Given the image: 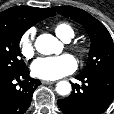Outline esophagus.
I'll list each match as a JSON object with an SVG mask.
<instances>
[{"label":"esophagus","instance_id":"34e87169","mask_svg":"<svg viewBox=\"0 0 114 114\" xmlns=\"http://www.w3.org/2000/svg\"><path fill=\"white\" fill-rule=\"evenodd\" d=\"M41 83L49 85L55 83V81L42 80Z\"/></svg>","mask_w":114,"mask_h":114}]
</instances>
